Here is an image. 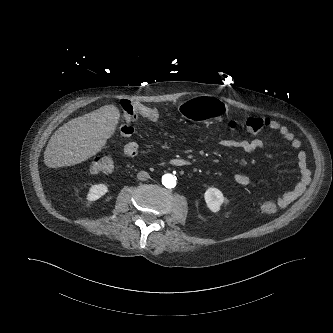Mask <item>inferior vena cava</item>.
<instances>
[{
    "label": "inferior vena cava",
    "mask_w": 333,
    "mask_h": 333,
    "mask_svg": "<svg viewBox=\"0 0 333 333\" xmlns=\"http://www.w3.org/2000/svg\"><path fill=\"white\" fill-rule=\"evenodd\" d=\"M137 178L139 180L145 181V180H148L150 178V176H149V174L146 171H140L137 174Z\"/></svg>",
    "instance_id": "1"
}]
</instances>
